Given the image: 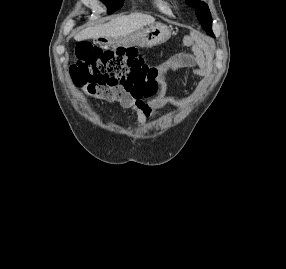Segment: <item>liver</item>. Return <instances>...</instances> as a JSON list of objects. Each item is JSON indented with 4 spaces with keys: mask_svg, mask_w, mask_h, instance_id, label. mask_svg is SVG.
<instances>
[{
    "mask_svg": "<svg viewBox=\"0 0 286 269\" xmlns=\"http://www.w3.org/2000/svg\"><path fill=\"white\" fill-rule=\"evenodd\" d=\"M155 18L142 14L132 13L130 15L119 16L108 23L88 27L78 32L74 39L82 41L86 39L98 38H118L127 36L147 25L154 24Z\"/></svg>",
    "mask_w": 286,
    "mask_h": 269,
    "instance_id": "liver-1",
    "label": "liver"
}]
</instances>
